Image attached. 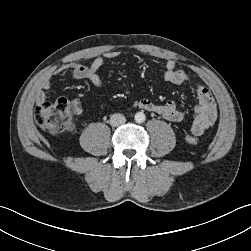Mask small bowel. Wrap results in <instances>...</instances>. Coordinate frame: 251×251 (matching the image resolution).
Returning <instances> with one entry per match:
<instances>
[{
    "mask_svg": "<svg viewBox=\"0 0 251 251\" xmlns=\"http://www.w3.org/2000/svg\"><path fill=\"white\" fill-rule=\"evenodd\" d=\"M118 56V52L111 51L104 56L96 57L89 65L71 63L58 70V73L65 70L71 71V77L74 80H87L95 87L102 86V80L99 76V70L104 65V60L113 59ZM165 81L175 85H189L194 90L197 96V104L194 107V116L192 119L191 131L195 135H201L210 127L217 119V106L209 89L200 82L194 81L183 70L176 68V62L168 59L165 62ZM52 87V82L49 78H45L40 83V91L36 95L38 104L45 102L46 96L43 91L49 90ZM79 108V101L74 100ZM135 106L146 111L157 113L165 119L183 123L187 120V115L184 111L178 108L174 101H168L164 104H156L148 98H141L135 102Z\"/></svg>",
    "mask_w": 251,
    "mask_h": 251,
    "instance_id": "small-bowel-1",
    "label": "small bowel"
}]
</instances>
